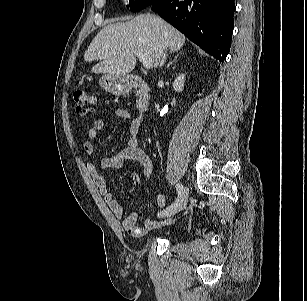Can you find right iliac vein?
I'll return each instance as SVG.
<instances>
[{"label": "right iliac vein", "instance_id": "1", "mask_svg": "<svg viewBox=\"0 0 307 301\" xmlns=\"http://www.w3.org/2000/svg\"><path fill=\"white\" fill-rule=\"evenodd\" d=\"M187 201H188V189L185 188L182 191L174 209L172 210V212L169 215L170 216L174 215V214L178 213L179 211H181L182 209H184L186 204H187Z\"/></svg>", "mask_w": 307, "mask_h": 301}]
</instances>
